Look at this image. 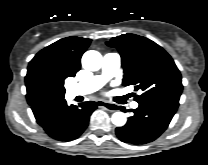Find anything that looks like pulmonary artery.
<instances>
[{
    "instance_id": "e3ab8cb5",
    "label": "pulmonary artery",
    "mask_w": 208,
    "mask_h": 165,
    "mask_svg": "<svg viewBox=\"0 0 208 165\" xmlns=\"http://www.w3.org/2000/svg\"><path fill=\"white\" fill-rule=\"evenodd\" d=\"M121 64V57L118 53H107L103 57L102 73L95 75L86 81L74 84L69 87L71 96H79L93 93L100 89L114 74ZM132 108H137L138 103L132 102Z\"/></svg>"
}]
</instances>
